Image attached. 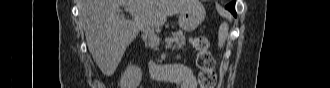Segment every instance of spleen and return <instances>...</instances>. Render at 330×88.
Listing matches in <instances>:
<instances>
[{
  "label": "spleen",
  "instance_id": "obj_1",
  "mask_svg": "<svg viewBox=\"0 0 330 88\" xmlns=\"http://www.w3.org/2000/svg\"><path fill=\"white\" fill-rule=\"evenodd\" d=\"M228 37V24L226 22H223L218 31V47L222 48L225 44V41Z\"/></svg>",
  "mask_w": 330,
  "mask_h": 88
}]
</instances>
